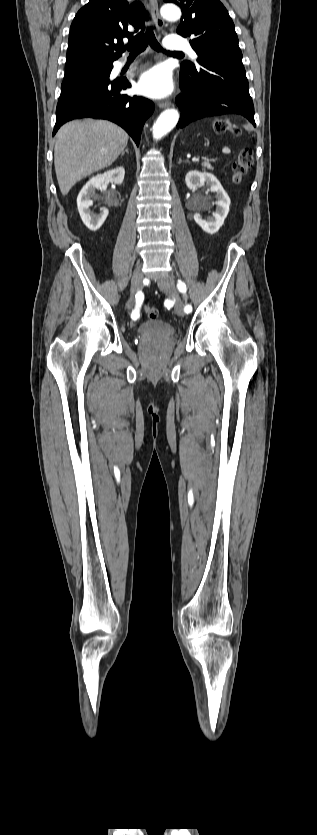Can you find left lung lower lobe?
<instances>
[{
  "label": "left lung lower lobe",
  "instance_id": "1",
  "mask_svg": "<svg viewBox=\"0 0 317 835\" xmlns=\"http://www.w3.org/2000/svg\"><path fill=\"white\" fill-rule=\"evenodd\" d=\"M176 103L182 111L177 128L209 116L238 114L254 126V105L241 58H209L180 72Z\"/></svg>",
  "mask_w": 317,
  "mask_h": 835
}]
</instances>
